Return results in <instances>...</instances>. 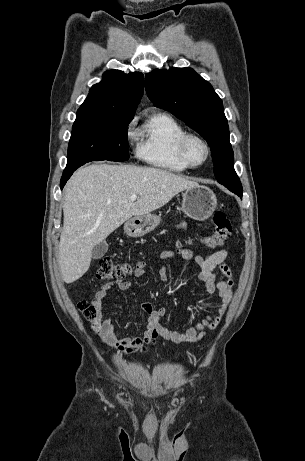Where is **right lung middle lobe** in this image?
I'll return each instance as SVG.
<instances>
[{
  "label": "right lung middle lobe",
  "mask_w": 305,
  "mask_h": 461,
  "mask_svg": "<svg viewBox=\"0 0 305 461\" xmlns=\"http://www.w3.org/2000/svg\"><path fill=\"white\" fill-rule=\"evenodd\" d=\"M131 120L77 113L68 145L66 168L80 167L93 160H127V128Z\"/></svg>",
  "instance_id": "1"
}]
</instances>
